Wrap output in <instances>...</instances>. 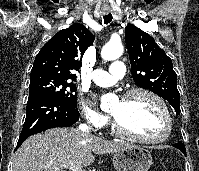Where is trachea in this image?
I'll use <instances>...</instances> for the list:
<instances>
[{"label":"trachea","mask_w":199,"mask_h":171,"mask_svg":"<svg viewBox=\"0 0 199 171\" xmlns=\"http://www.w3.org/2000/svg\"><path fill=\"white\" fill-rule=\"evenodd\" d=\"M103 19H104V23H105V24L110 23V22L112 21V15H111V13H109V14H107V15H104V16H103Z\"/></svg>","instance_id":"3493384b"}]
</instances>
